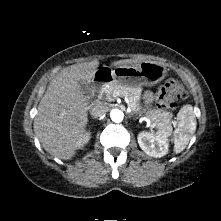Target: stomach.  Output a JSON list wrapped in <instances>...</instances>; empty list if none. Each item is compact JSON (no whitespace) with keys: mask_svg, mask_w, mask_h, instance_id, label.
Wrapping results in <instances>:
<instances>
[{"mask_svg":"<svg viewBox=\"0 0 221 221\" xmlns=\"http://www.w3.org/2000/svg\"><path fill=\"white\" fill-rule=\"evenodd\" d=\"M166 74V66L155 61H142L133 66H118L112 71L114 82L129 88L153 86L161 82Z\"/></svg>","mask_w":221,"mask_h":221,"instance_id":"1","label":"stomach"}]
</instances>
